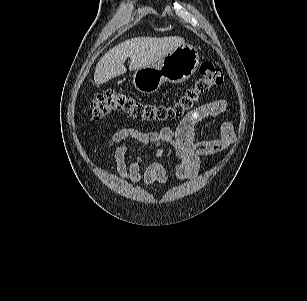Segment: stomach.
Instances as JSON below:
<instances>
[{"mask_svg":"<svg viewBox=\"0 0 307 301\" xmlns=\"http://www.w3.org/2000/svg\"><path fill=\"white\" fill-rule=\"evenodd\" d=\"M199 60L197 49L185 43L179 45L157 63L137 69L133 74L134 87L141 93L151 94L164 82L183 83L195 73Z\"/></svg>","mask_w":307,"mask_h":301,"instance_id":"obj_1","label":"stomach"}]
</instances>
